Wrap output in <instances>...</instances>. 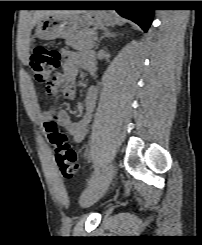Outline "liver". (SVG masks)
<instances>
[{"mask_svg":"<svg viewBox=\"0 0 202 245\" xmlns=\"http://www.w3.org/2000/svg\"><path fill=\"white\" fill-rule=\"evenodd\" d=\"M85 13L84 10H38L34 13L32 25H36L40 19L49 14L57 15H80Z\"/></svg>","mask_w":202,"mask_h":245,"instance_id":"obj_1","label":"liver"}]
</instances>
